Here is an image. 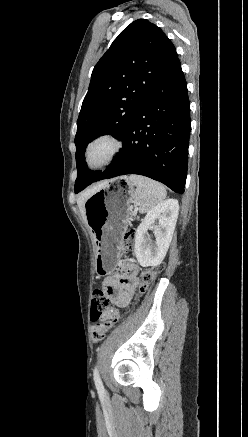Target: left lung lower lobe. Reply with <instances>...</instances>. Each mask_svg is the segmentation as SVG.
Wrapping results in <instances>:
<instances>
[{
    "instance_id": "1",
    "label": "left lung lower lobe",
    "mask_w": 248,
    "mask_h": 437,
    "mask_svg": "<svg viewBox=\"0 0 248 437\" xmlns=\"http://www.w3.org/2000/svg\"><path fill=\"white\" fill-rule=\"evenodd\" d=\"M190 127L187 84L177 59L135 113L122 151L95 181L139 174L184 193Z\"/></svg>"
}]
</instances>
